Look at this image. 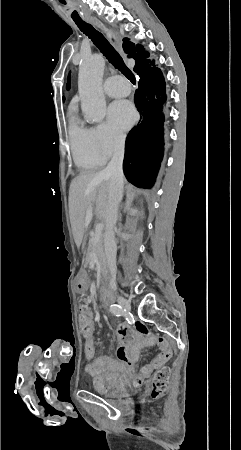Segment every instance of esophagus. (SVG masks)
I'll list each match as a JSON object with an SVG mask.
<instances>
[{"instance_id": "1", "label": "esophagus", "mask_w": 241, "mask_h": 450, "mask_svg": "<svg viewBox=\"0 0 241 450\" xmlns=\"http://www.w3.org/2000/svg\"><path fill=\"white\" fill-rule=\"evenodd\" d=\"M88 21L91 22V23H94L99 28L104 30V32L106 33V36H107L108 40L110 41V43H112V44L116 43V34H115V32L113 30H110V29L106 28L105 25H103V23L100 22L95 17L90 18Z\"/></svg>"}]
</instances>
